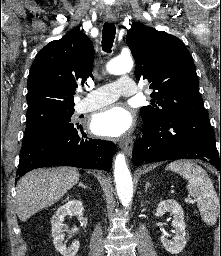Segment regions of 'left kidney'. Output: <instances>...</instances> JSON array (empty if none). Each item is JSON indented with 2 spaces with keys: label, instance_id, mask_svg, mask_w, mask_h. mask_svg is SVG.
<instances>
[{
  "label": "left kidney",
  "instance_id": "left-kidney-1",
  "mask_svg": "<svg viewBox=\"0 0 221 256\" xmlns=\"http://www.w3.org/2000/svg\"><path fill=\"white\" fill-rule=\"evenodd\" d=\"M165 212H171L173 215L172 226L175 228L174 237L172 240L161 236L163 247L172 254H178L183 251L187 241L185 239V222L184 212L182 207L174 200L168 199L161 201L156 209L157 215H162Z\"/></svg>",
  "mask_w": 221,
  "mask_h": 256
}]
</instances>
